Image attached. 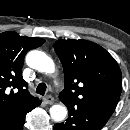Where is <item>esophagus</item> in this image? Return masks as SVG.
<instances>
[{"mask_svg": "<svg viewBox=\"0 0 130 130\" xmlns=\"http://www.w3.org/2000/svg\"><path fill=\"white\" fill-rule=\"evenodd\" d=\"M44 101H45L46 104L51 105V104L54 103V98H53L52 96H46V97L44 98Z\"/></svg>", "mask_w": 130, "mask_h": 130, "instance_id": "obj_1", "label": "esophagus"}]
</instances>
